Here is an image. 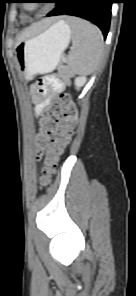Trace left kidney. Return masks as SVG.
<instances>
[{
  "label": "left kidney",
  "mask_w": 136,
  "mask_h": 296,
  "mask_svg": "<svg viewBox=\"0 0 136 296\" xmlns=\"http://www.w3.org/2000/svg\"><path fill=\"white\" fill-rule=\"evenodd\" d=\"M87 81V78L84 76L76 77L75 78V86L76 89L79 90Z\"/></svg>",
  "instance_id": "1"
}]
</instances>
